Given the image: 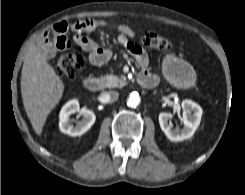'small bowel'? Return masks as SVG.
<instances>
[{"label":"small bowel","mask_w":245,"mask_h":195,"mask_svg":"<svg viewBox=\"0 0 245 195\" xmlns=\"http://www.w3.org/2000/svg\"><path fill=\"white\" fill-rule=\"evenodd\" d=\"M105 26L113 27L119 32L117 38L118 44L125 48L128 53L135 58L142 71L147 72L149 58L146 51L133 40L135 37L134 31L127 25H116L101 20L85 19L72 25V29L76 32L74 35V42L84 51L88 52L89 62L92 65L100 66L107 63L112 58L113 52L110 49L98 44L86 35L88 32H92L97 28ZM68 28L66 22H59L46 33V38L51 34L53 39L52 41L46 40L41 46L45 55H51L55 51L64 50L69 47L70 42L66 37Z\"/></svg>","instance_id":"obj_1"}]
</instances>
